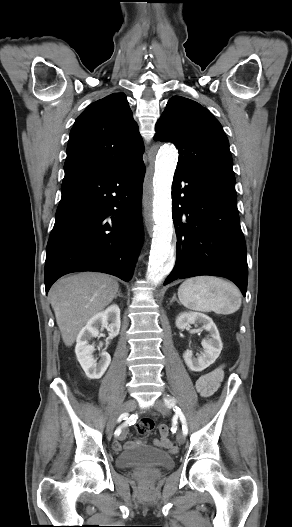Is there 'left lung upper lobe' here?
<instances>
[{"mask_svg": "<svg viewBox=\"0 0 292 527\" xmlns=\"http://www.w3.org/2000/svg\"><path fill=\"white\" fill-rule=\"evenodd\" d=\"M155 129V141L177 146L176 171L235 185L227 136L208 109L191 99L173 96Z\"/></svg>", "mask_w": 292, "mask_h": 527, "instance_id": "obj_1", "label": "left lung upper lobe"}]
</instances>
